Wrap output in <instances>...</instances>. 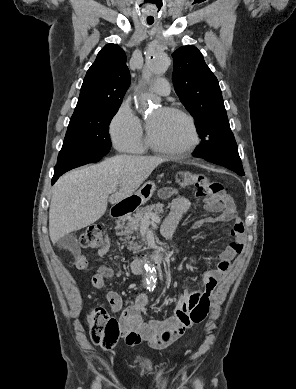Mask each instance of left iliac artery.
<instances>
[{
	"mask_svg": "<svg viewBox=\"0 0 296 389\" xmlns=\"http://www.w3.org/2000/svg\"><path fill=\"white\" fill-rule=\"evenodd\" d=\"M197 386H198V389H202V386H201V384H199V383H198V385H197Z\"/></svg>",
	"mask_w": 296,
	"mask_h": 389,
	"instance_id": "left-iliac-artery-1",
	"label": "left iliac artery"
}]
</instances>
